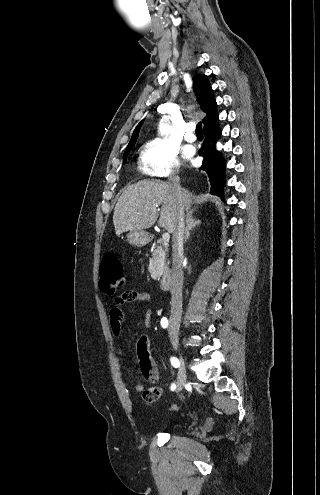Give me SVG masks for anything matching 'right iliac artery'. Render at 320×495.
Wrapping results in <instances>:
<instances>
[{
    "label": "right iliac artery",
    "mask_w": 320,
    "mask_h": 495,
    "mask_svg": "<svg viewBox=\"0 0 320 495\" xmlns=\"http://www.w3.org/2000/svg\"><path fill=\"white\" fill-rule=\"evenodd\" d=\"M160 323H161V326H162L163 328H167V327H168V320H167V318H166V317H163V318L161 319ZM171 364H172V366H173V367H175V368H177V367H179V366H180V362H179V360H178L176 357H174V356H173V357H171ZM175 388H176V385H175V384H172V385H171V390H174Z\"/></svg>",
    "instance_id": "right-iliac-artery-1"
}]
</instances>
